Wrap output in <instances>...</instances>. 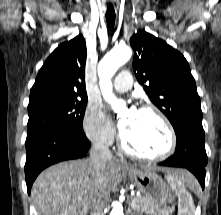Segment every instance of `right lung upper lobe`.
<instances>
[{
  "label": "right lung upper lobe",
  "instance_id": "right-lung-upper-lobe-1",
  "mask_svg": "<svg viewBox=\"0 0 221 215\" xmlns=\"http://www.w3.org/2000/svg\"><path fill=\"white\" fill-rule=\"evenodd\" d=\"M85 39L60 44L44 62L30 91L29 105L51 100L87 99Z\"/></svg>",
  "mask_w": 221,
  "mask_h": 215
}]
</instances>
